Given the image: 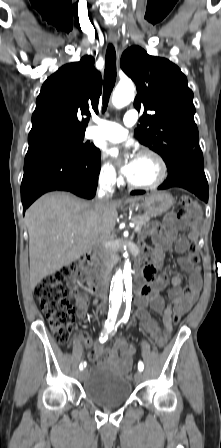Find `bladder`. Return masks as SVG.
Masks as SVG:
<instances>
[{"mask_svg": "<svg viewBox=\"0 0 221 448\" xmlns=\"http://www.w3.org/2000/svg\"><path fill=\"white\" fill-rule=\"evenodd\" d=\"M82 383L86 397L103 407L121 406L132 395L130 378L106 364H97L86 371Z\"/></svg>", "mask_w": 221, "mask_h": 448, "instance_id": "31cf9c89", "label": "bladder"}]
</instances>
